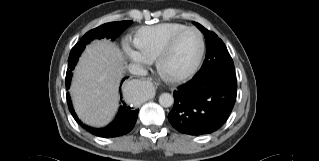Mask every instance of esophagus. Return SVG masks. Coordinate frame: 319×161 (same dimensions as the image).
Segmentation results:
<instances>
[{
    "mask_svg": "<svg viewBox=\"0 0 319 161\" xmlns=\"http://www.w3.org/2000/svg\"><path fill=\"white\" fill-rule=\"evenodd\" d=\"M141 79H142V80H145V78H144V77H142Z\"/></svg>",
    "mask_w": 319,
    "mask_h": 161,
    "instance_id": "esophagus-1",
    "label": "esophagus"
}]
</instances>
